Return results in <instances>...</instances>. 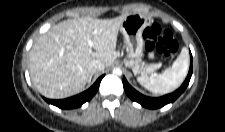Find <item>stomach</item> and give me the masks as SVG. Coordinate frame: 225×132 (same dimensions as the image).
<instances>
[{
  "mask_svg": "<svg viewBox=\"0 0 225 132\" xmlns=\"http://www.w3.org/2000/svg\"><path fill=\"white\" fill-rule=\"evenodd\" d=\"M149 25L148 18L142 14H129L121 24V32L124 37L127 57L139 61L137 66L144 71V63H141L140 56L143 50V31Z\"/></svg>",
  "mask_w": 225,
  "mask_h": 132,
  "instance_id": "1",
  "label": "stomach"
}]
</instances>
